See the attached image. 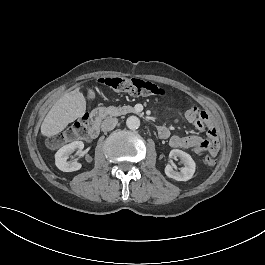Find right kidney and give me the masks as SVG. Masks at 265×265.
<instances>
[{
	"label": "right kidney",
	"instance_id": "obj_1",
	"mask_svg": "<svg viewBox=\"0 0 265 265\" xmlns=\"http://www.w3.org/2000/svg\"><path fill=\"white\" fill-rule=\"evenodd\" d=\"M84 143L82 141H74L61 147L55 154V164L63 172H73L79 170L82 165L76 161L69 162V155L75 150L82 153Z\"/></svg>",
	"mask_w": 265,
	"mask_h": 265
}]
</instances>
